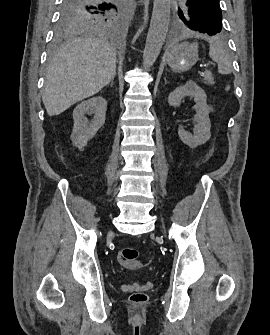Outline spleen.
I'll list each match as a JSON object with an SVG mask.
<instances>
[{
  "label": "spleen",
  "mask_w": 270,
  "mask_h": 335,
  "mask_svg": "<svg viewBox=\"0 0 270 335\" xmlns=\"http://www.w3.org/2000/svg\"><path fill=\"white\" fill-rule=\"evenodd\" d=\"M209 44V56L213 62L218 64L219 74H231L232 62L228 52H226L225 44L220 42L218 36L209 38Z\"/></svg>",
  "instance_id": "spleen-1"
}]
</instances>
